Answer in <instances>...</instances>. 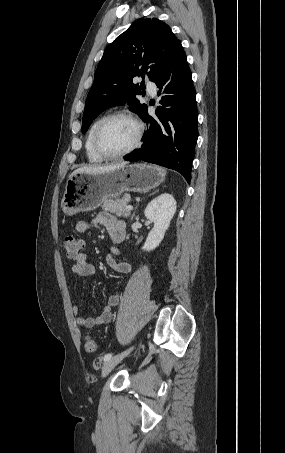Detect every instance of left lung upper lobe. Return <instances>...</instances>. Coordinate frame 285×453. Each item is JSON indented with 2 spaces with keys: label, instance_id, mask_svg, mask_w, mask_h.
Here are the masks:
<instances>
[{
  "label": "left lung upper lobe",
  "instance_id": "obj_1",
  "mask_svg": "<svg viewBox=\"0 0 285 453\" xmlns=\"http://www.w3.org/2000/svg\"><path fill=\"white\" fill-rule=\"evenodd\" d=\"M170 27L158 19L140 18L107 46L95 72L82 119L85 133L105 109L127 103L139 116L147 106L136 98L140 86L135 77L151 81L164 67L171 51L180 44Z\"/></svg>",
  "mask_w": 285,
  "mask_h": 453
}]
</instances>
